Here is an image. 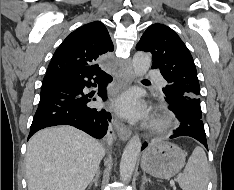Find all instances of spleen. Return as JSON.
I'll list each match as a JSON object with an SVG mask.
<instances>
[{"mask_svg": "<svg viewBox=\"0 0 234 190\" xmlns=\"http://www.w3.org/2000/svg\"><path fill=\"white\" fill-rule=\"evenodd\" d=\"M182 190H206L209 181V166L205 151L196 147L189 157L183 173L177 176Z\"/></svg>", "mask_w": 234, "mask_h": 190, "instance_id": "spleen-1", "label": "spleen"}]
</instances>
